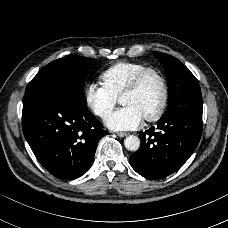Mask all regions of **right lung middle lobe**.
Listing matches in <instances>:
<instances>
[{
  "mask_svg": "<svg viewBox=\"0 0 228 228\" xmlns=\"http://www.w3.org/2000/svg\"><path fill=\"white\" fill-rule=\"evenodd\" d=\"M91 60L78 55H68L45 66L28 84L25 95L37 92L64 94L87 105L84 82Z\"/></svg>",
  "mask_w": 228,
  "mask_h": 228,
  "instance_id": "1",
  "label": "right lung middle lobe"
}]
</instances>
